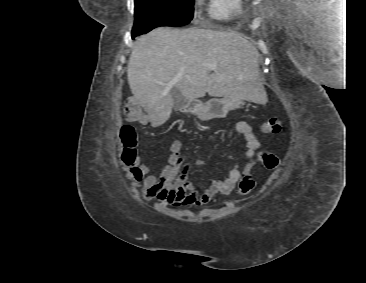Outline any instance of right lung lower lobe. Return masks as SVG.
<instances>
[{
  "label": "right lung lower lobe",
  "instance_id": "98d812e1",
  "mask_svg": "<svg viewBox=\"0 0 366 283\" xmlns=\"http://www.w3.org/2000/svg\"><path fill=\"white\" fill-rule=\"evenodd\" d=\"M136 36V34H132V38H134Z\"/></svg>",
  "mask_w": 366,
  "mask_h": 283
}]
</instances>
